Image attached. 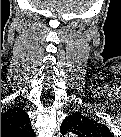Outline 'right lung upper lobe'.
<instances>
[{
    "mask_svg": "<svg viewBox=\"0 0 121 137\" xmlns=\"http://www.w3.org/2000/svg\"><path fill=\"white\" fill-rule=\"evenodd\" d=\"M29 132H33L30 119L23 109L12 107L1 114V134L17 135Z\"/></svg>",
    "mask_w": 121,
    "mask_h": 137,
    "instance_id": "cb5924a9",
    "label": "right lung upper lobe"
}]
</instances>
